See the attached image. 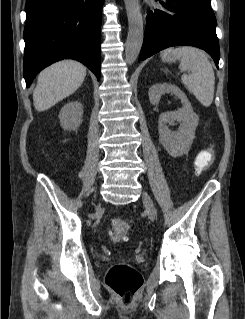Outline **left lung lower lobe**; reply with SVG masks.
<instances>
[{
	"mask_svg": "<svg viewBox=\"0 0 245 319\" xmlns=\"http://www.w3.org/2000/svg\"><path fill=\"white\" fill-rule=\"evenodd\" d=\"M158 1L163 10L156 9L147 15L139 60L171 46L190 45L209 53L218 68L219 42L216 18L210 4L200 0Z\"/></svg>",
	"mask_w": 245,
	"mask_h": 319,
	"instance_id": "0a47b994",
	"label": "left lung lower lobe"
}]
</instances>
